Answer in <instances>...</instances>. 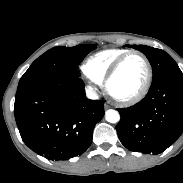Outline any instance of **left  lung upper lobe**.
<instances>
[{"label":"left lung upper lobe","mask_w":183,"mask_h":183,"mask_svg":"<svg viewBox=\"0 0 183 183\" xmlns=\"http://www.w3.org/2000/svg\"><path fill=\"white\" fill-rule=\"evenodd\" d=\"M140 50L149 60L153 69V81L169 74L180 72L177 63L165 51L145 45H125Z\"/></svg>","instance_id":"left-lung-upper-lobe-1"}]
</instances>
